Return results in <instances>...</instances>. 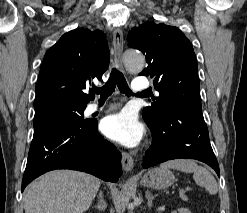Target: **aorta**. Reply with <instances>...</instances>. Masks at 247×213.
I'll return each instance as SVG.
<instances>
[{
	"instance_id": "1",
	"label": "aorta",
	"mask_w": 247,
	"mask_h": 213,
	"mask_svg": "<svg viewBox=\"0 0 247 213\" xmlns=\"http://www.w3.org/2000/svg\"><path fill=\"white\" fill-rule=\"evenodd\" d=\"M126 68L131 72H140L145 64L143 54L136 50H127L123 55Z\"/></svg>"
}]
</instances>
